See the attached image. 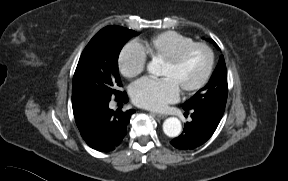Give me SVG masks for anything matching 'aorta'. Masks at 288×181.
<instances>
[{"mask_svg": "<svg viewBox=\"0 0 288 181\" xmlns=\"http://www.w3.org/2000/svg\"><path fill=\"white\" fill-rule=\"evenodd\" d=\"M148 71L150 73L156 72V63L151 62L148 64ZM182 130L181 122L176 117H169L163 123V131L168 137H177Z\"/></svg>", "mask_w": 288, "mask_h": 181, "instance_id": "1", "label": "aorta"}]
</instances>
